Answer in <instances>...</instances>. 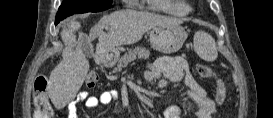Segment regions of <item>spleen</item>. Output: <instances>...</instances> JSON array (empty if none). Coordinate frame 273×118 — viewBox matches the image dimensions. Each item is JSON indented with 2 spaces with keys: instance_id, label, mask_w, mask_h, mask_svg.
<instances>
[{
  "instance_id": "1",
  "label": "spleen",
  "mask_w": 273,
  "mask_h": 118,
  "mask_svg": "<svg viewBox=\"0 0 273 118\" xmlns=\"http://www.w3.org/2000/svg\"><path fill=\"white\" fill-rule=\"evenodd\" d=\"M194 50L205 61L212 62L218 57L215 40L204 31H198L194 35Z\"/></svg>"
}]
</instances>
